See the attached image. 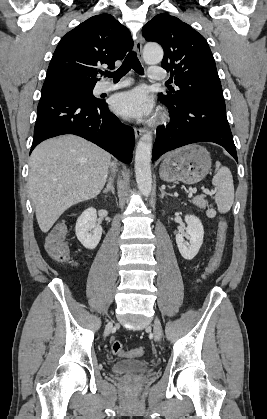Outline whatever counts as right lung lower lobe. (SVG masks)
<instances>
[{
    "instance_id": "right-lung-lower-lobe-1",
    "label": "right lung lower lobe",
    "mask_w": 267,
    "mask_h": 419,
    "mask_svg": "<svg viewBox=\"0 0 267 419\" xmlns=\"http://www.w3.org/2000/svg\"><path fill=\"white\" fill-rule=\"evenodd\" d=\"M63 134L81 136L126 164L132 160L134 130L122 124L104 100L91 102L60 89L42 90L31 151L40 142Z\"/></svg>"
}]
</instances>
